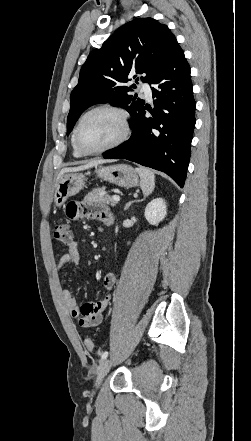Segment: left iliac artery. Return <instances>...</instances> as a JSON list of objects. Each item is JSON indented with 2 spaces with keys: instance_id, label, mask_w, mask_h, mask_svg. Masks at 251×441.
Wrapping results in <instances>:
<instances>
[{
  "instance_id": "obj_1",
  "label": "left iliac artery",
  "mask_w": 251,
  "mask_h": 441,
  "mask_svg": "<svg viewBox=\"0 0 251 441\" xmlns=\"http://www.w3.org/2000/svg\"><path fill=\"white\" fill-rule=\"evenodd\" d=\"M107 356H108V351L103 352L102 355H101V361H103L104 359H106Z\"/></svg>"
}]
</instances>
